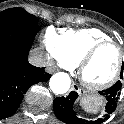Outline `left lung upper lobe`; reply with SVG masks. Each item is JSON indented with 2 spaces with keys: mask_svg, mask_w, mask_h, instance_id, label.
Returning <instances> with one entry per match:
<instances>
[{
  "mask_svg": "<svg viewBox=\"0 0 124 124\" xmlns=\"http://www.w3.org/2000/svg\"><path fill=\"white\" fill-rule=\"evenodd\" d=\"M120 78L123 79V71L122 70H121Z\"/></svg>",
  "mask_w": 124,
  "mask_h": 124,
  "instance_id": "obj_1",
  "label": "left lung upper lobe"
}]
</instances>
